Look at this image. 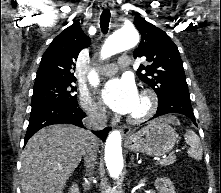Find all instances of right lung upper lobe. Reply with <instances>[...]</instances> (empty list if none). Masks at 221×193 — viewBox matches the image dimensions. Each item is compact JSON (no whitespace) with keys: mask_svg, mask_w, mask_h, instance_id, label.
Wrapping results in <instances>:
<instances>
[{"mask_svg":"<svg viewBox=\"0 0 221 193\" xmlns=\"http://www.w3.org/2000/svg\"><path fill=\"white\" fill-rule=\"evenodd\" d=\"M90 45V38L84 34L79 22L61 32L42 56L34 85L50 82L75 81L71 70L79 52Z\"/></svg>","mask_w":221,"mask_h":193,"instance_id":"obj_1","label":"right lung upper lobe"}]
</instances>
